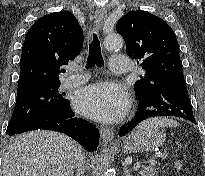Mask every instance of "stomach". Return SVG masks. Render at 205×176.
<instances>
[{"label": "stomach", "mask_w": 205, "mask_h": 176, "mask_svg": "<svg viewBox=\"0 0 205 176\" xmlns=\"http://www.w3.org/2000/svg\"><path fill=\"white\" fill-rule=\"evenodd\" d=\"M165 134L155 127H137L124 138V153L148 152L164 144Z\"/></svg>", "instance_id": "1"}]
</instances>
